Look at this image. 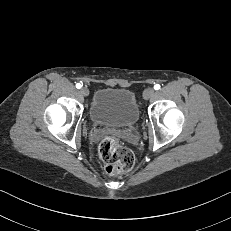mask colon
I'll list each match as a JSON object with an SVG mask.
<instances>
[{"instance_id":"colon-1","label":"colon","mask_w":231,"mask_h":231,"mask_svg":"<svg viewBox=\"0 0 231 231\" xmlns=\"http://www.w3.org/2000/svg\"><path fill=\"white\" fill-rule=\"evenodd\" d=\"M99 155L104 162V172L109 176L128 173L134 166L131 150L120 145L118 140L109 136L99 145Z\"/></svg>"}]
</instances>
